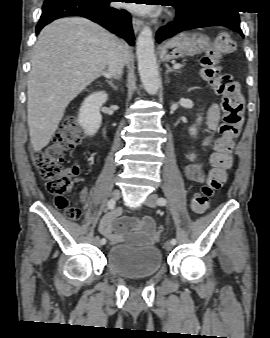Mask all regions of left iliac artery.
Returning a JSON list of instances; mask_svg holds the SVG:
<instances>
[{
	"label": "left iliac artery",
	"mask_w": 270,
	"mask_h": 338,
	"mask_svg": "<svg viewBox=\"0 0 270 338\" xmlns=\"http://www.w3.org/2000/svg\"><path fill=\"white\" fill-rule=\"evenodd\" d=\"M157 204H158L159 206H165V205L167 204V200H166L165 198H163V197H160V198L157 199ZM170 242H171L173 245H175L177 241H176L175 238H172Z\"/></svg>",
	"instance_id": "obj_1"
}]
</instances>
